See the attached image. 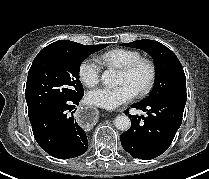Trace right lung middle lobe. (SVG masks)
I'll return each mask as SVG.
<instances>
[{"instance_id":"1","label":"right lung middle lobe","mask_w":209,"mask_h":179,"mask_svg":"<svg viewBox=\"0 0 209 179\" xmlns=\"http://www.w3.org/2000/svg\"><path fill=\"white\" fill-rule=\"evenodd\" d=\"M78 45L73 47H45L34 59L28 72L25 97L29 119L48 106L84 95L79 69L90 54L107 47Z\"/></svg>"}]
</instances>
